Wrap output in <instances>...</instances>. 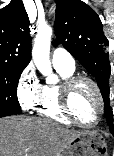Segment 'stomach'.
Wrapping results in <instances>:
<instances>
[{
  "label": "stomach",
  "mask_w": 114,
  "mask_h": 156,
  "mask_svg": "<svg viewBox=\"0 0 114 156\" xmlns=\"http://www.w3.org/2000/svg\"><path fill=\"white\" fill-rule=\"evenodd\" d=\"M60 156H108L107 143L101 134L84 131L66 145Z\"/></svg>",
  "instance_id": "stomach-1"
}]
</instances>
